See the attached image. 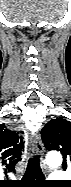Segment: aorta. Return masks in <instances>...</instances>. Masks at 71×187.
<instances>
[{"mask_svg": "<svg viewBox=\"0 0 71 187\" xmlns=\"http://www.w3.org/2000/svg\"><path fill=\"white\" fill-rule=\"evenodd\" d=\"M46 163L50 167H58L62 163V157L58 152H50L46 156Z\"/></svg>", "mask_w": 71, "mask_h": 187, "instance_id": "obj_1", "label": "aorta"}]
</instances>
